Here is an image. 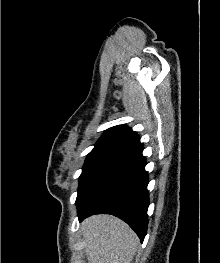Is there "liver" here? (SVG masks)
Segmentation results:
<instances>
[{
    "mask_svg": "<svg viewBox=\"0 0 220 263\" xmlns=\"http://www.w3.org/2000/svg\"><path fill=\"white\" fill-rule=\"evenodd\" d=\"M88 263H130L139 239L122 220L99 214L81 225Z\"/></svg>",
    "mask_w": 220,
    "mask_h": 263,
    "instance_id": "obj_1",
    "label": "liver"
}]
</instances>
